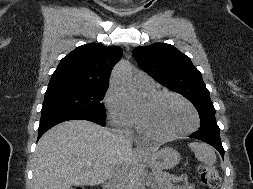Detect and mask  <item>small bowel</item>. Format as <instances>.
Masks as SVG:
<instances>
[{
    "mask_svg": "<svg viewBox=\"0 0 253 189\" xmlns=\"http://www.w3.org/2000/svg\"><path fill=\"white\" fill-rule=\"evenodd\" d=\"M173 189H194L193 185H178L173 187Z\"/></svg>",
    "mask_w": 253,
    "mask_h": 189,
    "instance_id": "small-bowel-1",
    "label": "small bowel"
}]
</instances>
